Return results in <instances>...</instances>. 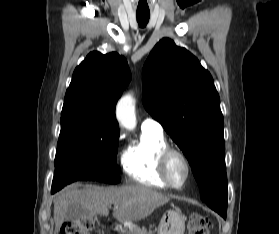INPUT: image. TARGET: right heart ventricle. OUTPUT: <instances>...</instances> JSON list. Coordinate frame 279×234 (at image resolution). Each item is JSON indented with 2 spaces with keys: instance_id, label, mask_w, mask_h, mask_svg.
I'll use <instances>...</instances> for the list:
<instances>
[{
  "instance_id": "obj_1",
  "label": "right heart ventricle",
  "mask_w": 279,
  "mask_h": 234,
  "mask_svg": "<svg viewBox=\"0 0 279 234\" xmlns=\"http://www.w3.org/2000/svg\"><path fill=\"white\" fill-rule=\"evenodd\" d=\"M167 146L162 133L142 130L139 140L122 154L121 163L125 174L143 186L167 188L158 169L159 155Z\"/></svg>"
}]
</instances>
